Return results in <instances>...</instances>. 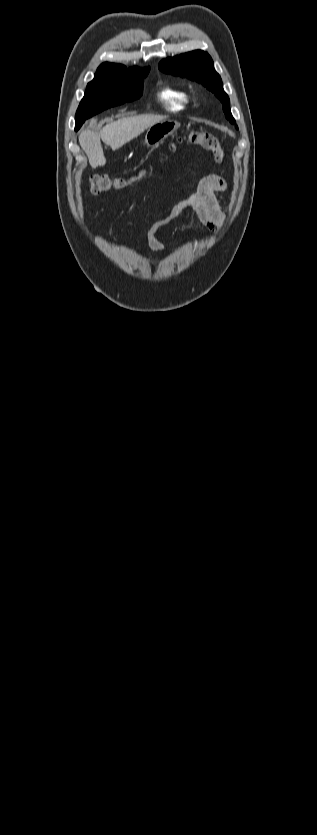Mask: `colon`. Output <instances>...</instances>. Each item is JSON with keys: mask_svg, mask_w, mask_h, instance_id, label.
<instances>
[{"mask_svg": "<svg viewBox=\"0 0 317 835\" xmlns=\"http://www.w3.org/2000/svg\"><path fill=\"white\" fill-rule=\"evenodd\" d=\"M187 141L196 147L210 151L216 161L222 160L224 155L223 148L219 140L214 135L202 130H195L189 133ZM142 175L143 173L139 172L134 177L124 178L112 177L106 174H96L90 178L91 192L98 195L112 189H121L130 182L139 179Z\"/></svg>", "mask_w": 317, "mask_h": 835, "instance_id": "obj_1", "label": "colon"}]
</instances>
